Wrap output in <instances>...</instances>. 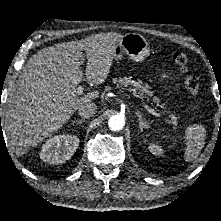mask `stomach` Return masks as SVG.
<instances>
[{
	"mask_svg": "<svg viewBox=\"0 0 221 221\" xmlns=\"http://www.w3.org/2000/svg\"><path fill=\"white\" fill-rule=\"evenodd\" d=\"M150 54L147 40L140 34L127 33L117 43L114 50V59L119 61L127 55L135 61H142Z\"/></svg>",
	"mask_w": 221,
	"mask_h": 221,
	"instance_id": "stomach-1",
	"label": "stomach"
}]
</instances>
